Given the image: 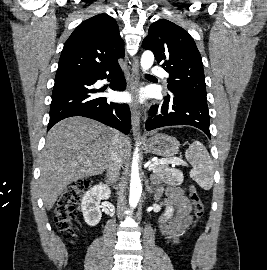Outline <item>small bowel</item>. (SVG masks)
Instances as JSON below:
<instances>
[{
	"instance_id": "c3829d8e",
	"label": "small bowel",
	"mask_w": 267,
	"mask_h": 270,
	"mask_svg": "<svg viewBox=\"0 0 267 270\" xmlns=\"http://www.w3.org/2000/svg\"><path fill=\"white\" fill-rule=\"evenodd\" d=\"M157 201L163 206H172L174 216L162 217L160 220V232L168 244L178 242L181 234L192 222L191 204L179 187H160L156 194Z\"/></svg>"
}]
</instances>
